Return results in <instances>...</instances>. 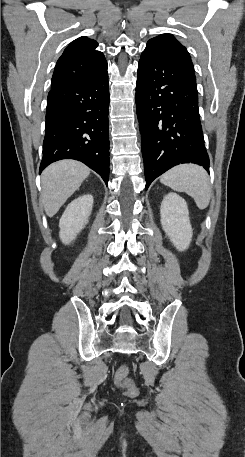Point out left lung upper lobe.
Listing matches in <instances>:
<instances>
[{
  "mask_svg": "<svg viewBox=\"0 0 245 457\" xmlns=\"http://www.w3.org/2000/svg\"><path fill=\"white\" fill-rule=\"evenodd\" d=\"M165 40H170V41L174 42L181 49V52H182L183 56L185 57V59L187 60V62L189 63V65L191 67H193V64H192V61H191V58H190V55H189L188 51L171 34H164V35H160V36H157L155 38L150 39L148 41V43H147L146 48H150L154 44H156L157 42L165 41Z\"/></svg>",
  "mask_w": 245,
  "mask_h": 457,
  "instance_id": "1",
  "label": "left lung upper lobe"
}]
</instances>
